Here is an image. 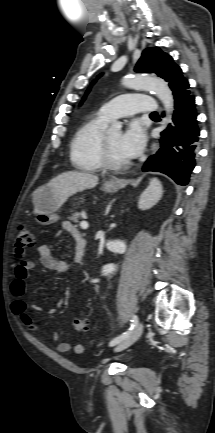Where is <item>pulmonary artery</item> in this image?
<instances>
[{
    "label": "pulmonary artery",
    "instance_id": "pulmonary-artery-1",
    "mask_svg": "<svg viewBox=\"0 0 215 433\" xmlns=\"http://www.w3.org/2000/svg\"><path fill=\"white\" fill-rule=\"evenodd\" d=\"M160 111L154 97L141 93H129L105 103L100 112L109 120L131 116L138 113H157Z\"/></svg>",
    "mask_w": 215,
    "mask_h": 433
}]
</instances>
